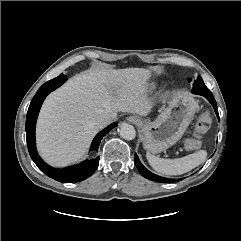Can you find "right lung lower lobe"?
<instances>
[{"label": "right lung lower lobe", "instance_id": "98d812e1", "mask_svg": "<svg viewBox=\"0 0 241 241\" xmlns=\"http://www.w3.org/2000/svg\"><path fill=\"white\" fill-rule=\"evenodd\" d=\"M50 92L51 91L48 90L43 93H36V95L32 99V102L30 103V106L27 112L26 125H25L29 154L32 160L34 161V163L37 165V167L49 177L60 182L82 181L88 178L89 176H91L95 172L99 164V157L91 160H85L80 164L73 165L71 167H67L64 169H55L50 167L48 164H46L37 153L36 144H35L36 120H37L41 105L44 99L46 98V96ZM115 126H117V123H112L104 130L99 132L95 136L91 144L90 150H97L101 142V139Z\"/></svg>", "mask_w": 241, "mask_h": 241}]
</instances>
